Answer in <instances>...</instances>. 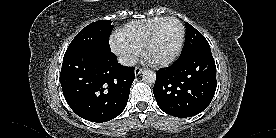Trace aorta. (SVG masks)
<instances>
[{"label":"aorta","instance_id":"762f6f07","mask_svg":"<svg viewBox=\"0 0 276 138\" xmlns=\"http://www.w3.org/2000/svg\"><path fill=\"white\" fill-rule=\"evenodd\" d=\"M142 79L147 84H153L156 81V73L152 70H145L142 72Z\"/></svg>","mask_w":276,"mask_h":138}]
</instances>
